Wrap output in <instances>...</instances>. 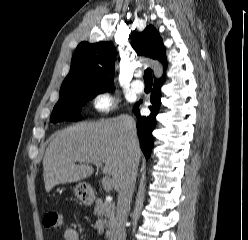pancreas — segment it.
Masks as SVG:
<instances>
[{
    "label": "pancreas",
    "instance_id": "cf45deb5",
    "mask_svg": "<svg viewBox=\"0 0 248 240\" xmlns=\"http://www.w3.org/2000/svg\"><path fill=\"white\" fill-rule=\"evenodd\" d=\"M94 214L103 219L107 228V240H114L116 229L115 205L110 202L97 199L95 202Z\"/></svg>",
    "mask_w": 248,
    "mask_h": 240
}]
</instances>
